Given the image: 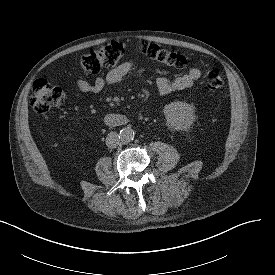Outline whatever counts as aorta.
Masks as SVG:
<instances>
[{
    "mask_svg": "<svg viewBox=\"0 0 275 275\" xmlns=\"http://www.w3.org/2000/svg\"><path fill=\"white\" fill-rule=\"evenodd\" d=\"M134 137H135V132L130 127H125L122 130H120L119 138L121 142L129 143L134 139Z\"/></svg>",
    "mask_w": 275,
    "mask_h": 275,
    "instance_id": "obj_1",
    "label": "aorta"
}]
</instances>
